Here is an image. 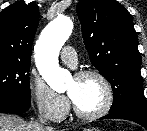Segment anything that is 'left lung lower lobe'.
Returning a JSON list of instances; mask_svg holds the SVG:
<instances>
[{"instance_id": "obj_1", "label": "left lung lower lobe", "mask_w": 147, "mask_h": 131, "mask_svg": "<svg viewBox=\"0 0 147 131\" xmlns=\"http://www.w3.org/2000/svg\"><path fill=\"white\" fill-rule=\"evenodd\" d=\"M100 119H125L136 122L147 130V112L141 111H119L113 112L101 117Z\"/></svg>"}]
</instances>
